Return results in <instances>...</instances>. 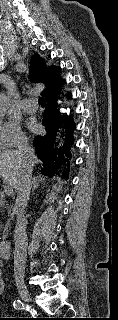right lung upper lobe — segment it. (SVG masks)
<instances>
[{"label": "right lung upper lobe", "mask_w": 118, "mask_h": 320, "mask_svg": "<svg viewBox=\"0 0 118 320\" xmlns=\"http://www.w3.org/2000/svg\"><path fill=\"white\" fill-rule=\"evenodd\" d=\"M59 67L50 69L44 66V61L38 54H34L31 60L30 76L34 82L46 85L45 91L41 94L45 98L58 91Z\"/></svg>", "instance_id": "obj_1"}]
</instances>
